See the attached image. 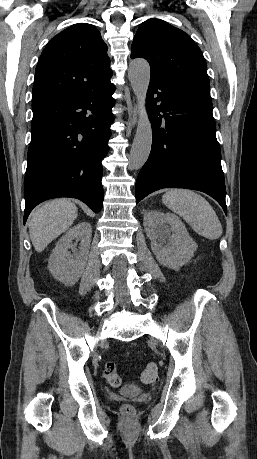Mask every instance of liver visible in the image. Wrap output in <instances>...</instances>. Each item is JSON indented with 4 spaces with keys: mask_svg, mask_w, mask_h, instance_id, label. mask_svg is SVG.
<instances>
[{
    "mask_svg": "<svg viewBox=\"0 0 257 459\" xmlns=\"http://www.w3.org/2000/svg\"><path fill=\"white\" fill-rule=\"evenodd\" d=\"M77 211L76 205L67 199L51 200L34 210L28 224L34 249L42 252L68 230L77 217Z\"/></svg>",
    "mask_w": 257,
    "mask_h": 459,
    "instance_id": "1",
    "label": "liver"
}]
</instances>
